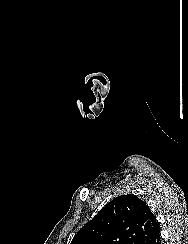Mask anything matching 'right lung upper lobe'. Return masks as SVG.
I'll list each match as a JSON object with an SVG mask.
<instances>
[{
    "mask_svg": "<svg viewBox=\"0 0 188 244\" xmlns=\"http://www.w3.org/2000/svg\"><path fill=\"white\" fill-rule=\"evenodd\" d=\"M159 228L144 201L135 195H121L86 223L71 244H147Z\"/></svg>",
    "mask_w": 188,
    "mask_h": 244,
    "instance_id": "cb5924a9",
    "label": "right lung upper lobe"
}]
</instances>
